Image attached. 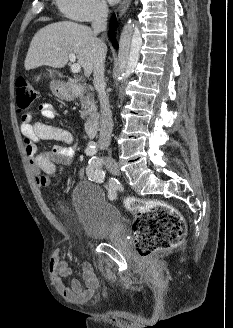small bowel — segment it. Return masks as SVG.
I'll return each instance as SVG.
<instances>
[{
  "label": "small bowel",
  "instance_id": "obj_1",
  "mask_svg": "<svg viewBox=\"0 0 233 328\" xmlns=\"http://www.w3.org/2000/svg\"><path fill=\"white\" fill-rule=\"evenodd\" d=\"M39 110L45 119H54L57 116L50 103H41ZM20 131L36 184L39 187L49 186L58 174L60 166L70 164L74 155V149L69 147L73 140L71 133L41 121L33 122L31 112L22 116ZM44 140L57 141L64 145H57L51 152H39L37 144ZM49 269L55 288L68 301L83 302L94 295L98 280L90 263L82 264V281L72 278L69 285H66L63 279L71 275V269L61 259L58 251L51 255Z\"/></svg>",
  "mask_w": 233,
  "mask_h": 328
}]
</instances>
